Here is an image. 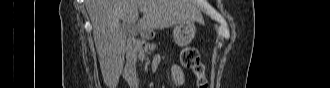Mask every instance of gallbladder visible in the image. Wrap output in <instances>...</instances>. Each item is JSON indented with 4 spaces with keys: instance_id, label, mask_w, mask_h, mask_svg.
<instances>
[{
    "instance_id": "obj_1",
    "label": "gallbladder",
    "mask_w": 330,
    "mask_h": 88,
    "mask_svg": "<svg viewBox=\"0 0 330 88\" xmlns=\"http://www.w3.org/2000/svg\"><path fill=\"white\" fill-rule=\"evenodd\" d=\"M122 29L128 37L136 33V26L134 24L122 23Z\"/></svg>"
}]
</instances>
